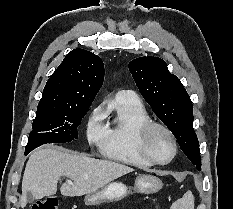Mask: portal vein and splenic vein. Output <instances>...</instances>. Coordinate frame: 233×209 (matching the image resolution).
<instances>
[{"label": "portal vein and splenic vein", "instance_id": "obj_1", "mask_svg": "<svg viewBox=\"0 0 233 209\" xmlns=\"http://www.w3.org/2000/svg\"><path fill=\"white\" fill-rule=\"evenodd\" d=\"M68 183H69V184H72V181L68 180Z\"/></svg>", "mask_w": 233, "mask_h": 209}]
</instances>
